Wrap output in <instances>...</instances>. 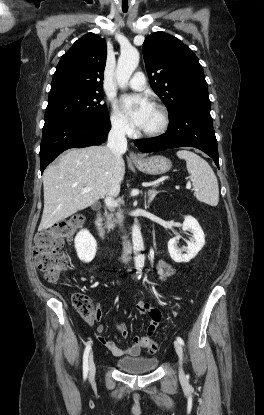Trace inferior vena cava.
I'll list each match as a JSON object with an SVG mask.
<instances>
[{"label": "inferior vena cava", "mask_w": 264, "mask_h": 415, "mask_svg": "<svg viewBox=\"0 0 264 415\" xmlns=\"http://www.w3.org/2000/svg\"><path fill=\"white\" fill-rule=\"evenodd\" d=\"M108 149L113 154L116 165L122 160V154L127 150V139L125 136V125L121 122H116L112 125V128L108 135ZM116 168L114 170L111 186L109 190V196H117L120 192V183L117 179ZM120 225H122L124 216L121 213L117 215Z\"/></svg>", "instance_id": "inferior-vena-cava-1"}]
</instances>
